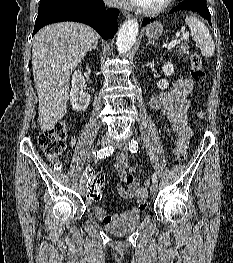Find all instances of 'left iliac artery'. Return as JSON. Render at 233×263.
Here are the masks:
<instances>
[{
  "label": "left iliac artery",
  "mask_w": 233,
  "mask_h": 263,
  "mask_svg": "<svg viewBox=\"0 0 233 263\" xmlns=\"http://www.w3.org/2000/svg\"><path fill=\"white\" fill-rule=\"evenodd\" d=\"M129 150L132 153H137V151H138V143H137V141L135 139H132L129 142ZM152 181L153 182H157V175L155 173L152 175Z\"/></svg>",
  "instance_id": "left-iliac-artery-1"
}]
</instances>
